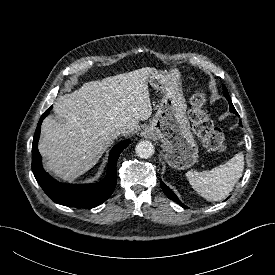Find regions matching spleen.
Segmentation results:
<instances>
[{
  "instance_id": "spleen-1",
  "label": "spleen",
  "mask_w": 275,
  "mask_h": 275,
  "mask_svg": "<svg viewBox=\"0 0 275 275\" xmlns=\"http://www.w3.org/2000/svg\"><path fill=\"white\" fill-rule=\"evenodd\" d=\"M244 169V155L237 153L225 164L210 171H188L186 177L193 189L206 200L219 201L233 190Z\"/></svg>"
}]
</instances>
